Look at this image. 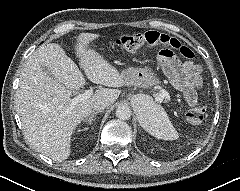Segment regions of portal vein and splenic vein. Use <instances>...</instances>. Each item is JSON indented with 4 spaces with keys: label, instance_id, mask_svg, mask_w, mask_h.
Masks as SVG:
<instances>
[{
    "label": "portal vein and splenic vein",
    "instance_id": "1",
    "mask_svg": "<svg viewBox=\"0 0 240 191\" xmlns=\"http://www.w3.org/2000/svg\"><path fill=\"white\" fill-rule=\"evenodd\" d=\"M92 94H93V90L88 89L84 93L77 95L76 97L71 99V108L74 105L78 104L79 102L87 100L88 98H90L92 96Z\"/></svg>",
    "mask_w": 240,
    "mask_h": 191
}]
</instances>
